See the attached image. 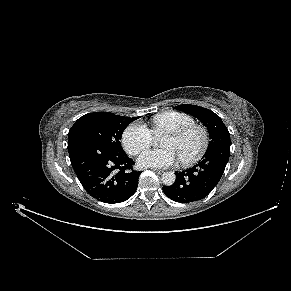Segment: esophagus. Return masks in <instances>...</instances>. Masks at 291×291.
I'll list each match as a JSON object with an SVG mask.
<instances>
[{"label":"esophagus","instance_id":"esophagus-1","mask_svg":"<svg viewBox=\"0 0 291 291\" xmlns=\"http://www.w3.org/2000/svg\"><path fill=\"white\" fill-rule=\"evenodd\" d=\"M154 172L158 173V174H161L163 173V170H160V169H152Z\"/></svg>","mask_w":291,"mask_h":291}]
</instances>
